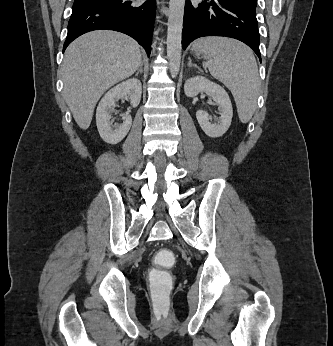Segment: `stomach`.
<instances>
[{
	"mask_svg": "<svg viewBox=\"0 0 333 346\" xmlns=\"http://www.w3.org/2000/svg\"><path fill=\"white\" fill-rule=\"evenodd\" d=\"M196 55H199L200 52L192 50Z\"/></svg>",
	"mask_w": 333,
	"mask_h": 346,
	"instance_id": "stomach-1",
	"label": "stomach"
}]
</instances>
